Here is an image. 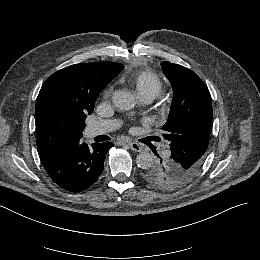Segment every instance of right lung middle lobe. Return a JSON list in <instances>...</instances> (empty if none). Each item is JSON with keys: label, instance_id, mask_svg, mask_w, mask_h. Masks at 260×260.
I'll list each match as a JSON object with an SVG mask.
<instances>
[{"label": "right lung middle lobe", "instance_id": "dd1d6c3e", "mask_svg": "<svg viewBox=\"0 0 260 260\" xmlns=\"http://www.w3.org/2000/svg\"><path fill=\"white\" fill-rule=\"evenodd\" d=\"M94 103L95 100L87 99L85 102H83L80 106V116L81 120L84 122L87 114H91L94 109Z\"/></svg>", "mask_w": 260, "mask_h": 260}]
</instances>
